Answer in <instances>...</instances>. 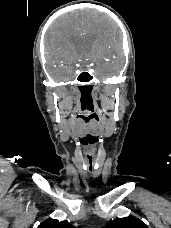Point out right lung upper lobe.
<instances>
[{"label":"right lung upper lobe","instance_id":"cb5924a9","mask_svg":"<svg viewBox=\"0 0 171 228\" xmlns=\"http://www.w3.org/2000/svg\"><path fill=\"white\" fill-rule=\"evenodd\" d=\"M37 228H75L67 221L59 222L56 219H48L42 222Z\"/></svg>","mask_w":171,"mask_h":228}]
</instances>
